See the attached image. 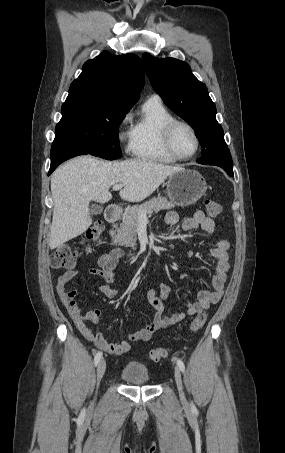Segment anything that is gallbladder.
Masks as SVG:
<instances>
[{
	"mask_svg": "<svg viewBox=\"0 0 285 453\" xmlns=\"http://www.w3.org/2000/svg\"><path fill=\"white\" fill-rule=\"evenodd\" d=\"M102 211H103V208H102V206H100V205H93V206H91V208H90V214H91V215L101 214Z\"/></svg>",
	"mask_w": 285,
	"mask_h": 453,
	"instance_id": "1",
	"label": "gallbladder"
}]
</instances>
